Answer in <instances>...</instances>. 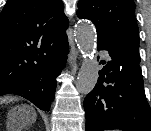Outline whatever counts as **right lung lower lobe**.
<instances>
[{
	"mask_svg": "<svg viewBox=\"0 0 151 131\" xmlns=\"http://www.w3.org/2000/svg\"><path fill=\"white\" fill-rule=\"evenodd\" d=\"M67 38L47 51V60L36 73L18 81L3 94L18 95L35 104L39 109L49 111L56 90V77L65 66L68 54Z\"/></svg>",
	"mask_w": 151,
	"mask_h": 131,
	"instance_id": "1",
	"label": "right lung lower lobe"
}]
</instances>
